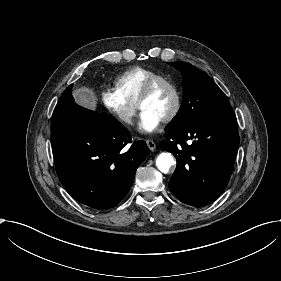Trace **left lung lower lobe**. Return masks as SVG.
<instances>
[{"label":"left lung lower lobe","mask_w":281,"mask_h":281,"mask_svg":"<svg viewBox=\"0 0 281 281\" xmlns=\"http://www.w3.org/2000/svg\"><path fill=\"white\" fill-rule=\"evenodd\" d=\"M162 149L177 160L169 181L175 197L201 207L214 202L225 190L239 147L234 113L204 119L166 131Z\"/></svg>","instance_id":"left-lung-lower-lobe-1"}]
</instances>
